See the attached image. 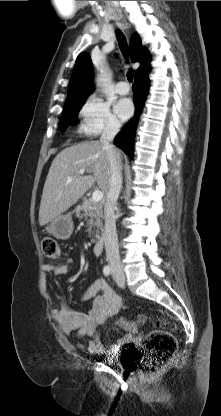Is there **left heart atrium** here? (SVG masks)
Returning a JSON list of instances; mask_svg holds the SVG:
<instances>
[{
    "label": "left heart atrium",
    "mask_w": 221,
    "mask_h": 416,
    "mask_svg": "<svg viewBox=\"0 0 221 416\" xmlns=\"http://www.w3.org/2000/svg\"><path fill=\"white\" fill-rule=\"evenodd\" d=\"M134 111L133 104L128 99H122L115 105L116 114L123 120L128 119Z\"/></svg>",
    "instance_id": "left-heart-atrium-1"
}]
</instances>
